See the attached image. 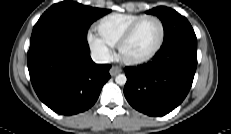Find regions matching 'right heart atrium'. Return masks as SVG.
I'll return each instance as SVG.
<instances>
[{"label":"right heart atrium","mask_w":231,"mask_h":134,"mask_svg":"<svg viewBox=\"0 0 231 134\" xmlns=\"http://www.w3.org/2000/svg\"><path fill=\"white\" fill-rule=\"evenodd\" d=\"M88 47L94 58L100 63H107L113 57V49L97 33L89 31L86 35Z\"/></svg>","instance_id":"obj_1"}]
</instances>
